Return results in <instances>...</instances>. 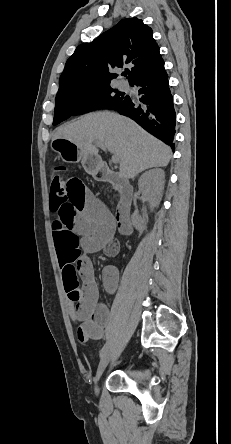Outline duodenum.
I'll use <instances>...</instances> for the list:
<instances>
[{"label":"duodenum","instance_id":"obj_1","mask_svg":"<svg viewBox=\"0 0 231 444\" xmlns=\"http://www.w3.org/2000/svg\"><path fill=\"white\" fill-rule=\"evenodd\" d=\"M96 174L102 180L110 182L118 188L120 201L116 211L115 223L121 235H130L132 231L130 209L134 194L132 185L106 164H102Z\"/></svg>","mask_w":231,"mask_h":444}]
</instances>
